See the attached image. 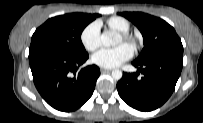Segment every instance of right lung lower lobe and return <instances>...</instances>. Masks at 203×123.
<instances>
[{"label":"right lung lower lobe","instance_id":"1","mask_svg":"<svg viewBox=\"0 0 203 123\" xmlns=\"http://www.w3.org/2000/svg\"><path fill=\"white\" fill-rule=\"evenodd\" d=\"M88 54L70 56L43 49H29L34 84L53 108L69 112L80 108L93 94L100 69L96 65L78 71Z\"/></svg>","mask_w":203,"mask_h":123}]
</instances>
